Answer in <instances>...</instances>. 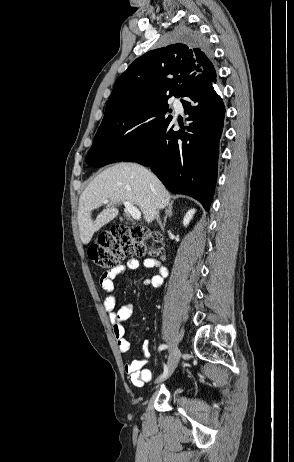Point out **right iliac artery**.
I'll return each instance as SVG.
<instances>
[{
    "mask_svg": "<svg viewBox=\"0 0 294 462\" xmlns=\"http://www.w3.org/2000/svg\"><path fill=\"white\" fill-rule=\"evenodd\" d=\"M166 348H167V345L162 344V345H160V347H159V351H162V350H164V349H166ZM166 374H167V366L164 364V372H163V374H162L159 378H164V377L166 376Z\"/></svg>",
    "mask_w": 294,
    "mask_h": 462,
    "instance_id": "82829eb1",
    "label": "right iliac artery"
}]
</instances>
